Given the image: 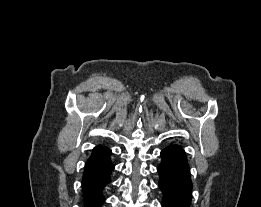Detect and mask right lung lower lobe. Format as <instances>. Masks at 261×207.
I'll return each instance as SVG.
<instances>
[{
	"label": "right lung lower lobe",
	"instance_id": "1",
	"mask_svg": "<svg viewBox=\"0 0 261 207\" xmlns=\"http://www.w3.org/2000/svg\"><path fill=\"white\" fill-rule=\"evenodd\" d=\"M111 151L102 145L96 146L88 158L82 177L84 207H101L105 197L104 189L111 183L114 164Z\"/></svg>",
	"mask_w": 261,
	"mask_h": 207
}]
</instances>
